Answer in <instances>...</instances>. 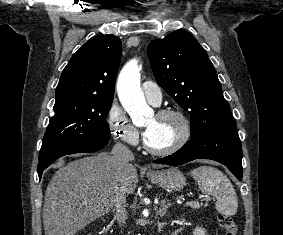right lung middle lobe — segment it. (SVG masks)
<instances>
[{
	"instance_id": "right-lung-middle-lobe-1",
	"label": "right lung middle lobe",
	"mask_w": 283,
	"mask_h": 235,
	"mask_svg": "<svg viewBox=\"0 0 283 235\" xmlns=\"http://www.w3.org/2000/svg\"><path fill=\"white\" fill-rule=\"evenodd\" d=\"M113 98L73 97L54 105L44 135L39 160L53 151L77 141L110 136L106 117Z\"/></svg>"
}]
</instances>
